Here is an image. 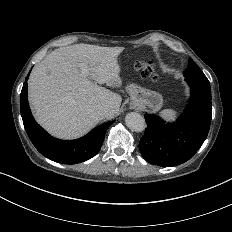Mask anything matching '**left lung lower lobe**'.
I'll use <instances>...</instances> for the list:
<instances>
[{"label": "left lung lower lobe", "mask_w": 232, "mask_h": 232, "mask_svg": "<svg viewBox=\"0 0 232 232\" xmlns=\"http://www.w3.org/2000/svg\"><path fill=\"white\" fill-rule=\"evenodd\" d=\"M211 117V96L193 89L184 113L176 122L166 123L146 113L147 129L139 143L142 157L162 167L185 163L207 138Z\"/></svg>", "instance_id": "left-lung-lower-lobe-1"}]
</instances>
